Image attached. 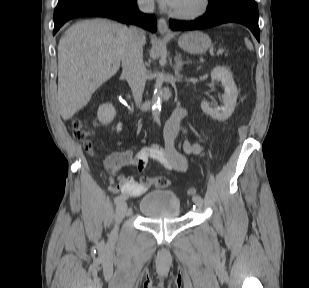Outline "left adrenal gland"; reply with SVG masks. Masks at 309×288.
<instances>
[{"label":"left adrenal gland","instance_id":"a2214340","mask_svg":"<svg viewBox=\"0 0 309 288\" xmlns=\"http://www.w3.org/2000/svg\"><path fill=\"white\" fill-rule=\"evenodd\" d=\"M175 64H174V72L177 77H180V71L184 64L190 63V61H182L181 54H177L175 57Z\"/></svg>","mask_w":309,"mask_h":288}]
</instances>
